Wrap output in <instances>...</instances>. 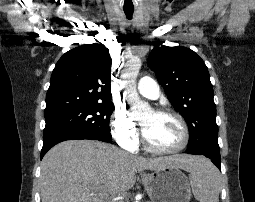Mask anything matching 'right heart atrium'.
Masks as SVG:
<instances>
[{
    "label": "right heart atrium",
    "mask_w": 255,
    "mask_h": 202,
    "mask_svg": "<svg viewBox=\"0 0 255 202\" xmlns=\"http://www.w3.org/2000/svg\"><path fill=\"white\" fill-rule=\"evenodd\" d=\"M110 131L115 142L122 148L133 151L139 142L136 123L129 118L126 111L116 108L111 116Z\"/></svg>",
    "instance_id": "d8ad5b80"
}]
</instances>
